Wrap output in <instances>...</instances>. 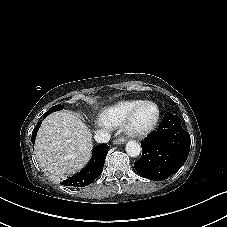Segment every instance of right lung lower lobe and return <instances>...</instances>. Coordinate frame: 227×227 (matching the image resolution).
Segmentation results:
<instances>
[{
  "label": "right lung lower lobe",
  "mask_w": 227,
  "mask_h": 227,
  "mask_svg": "<svg viewBox=\"0 0 227 227\" xmlns=\"http://www.w3.org/2000/svg\"><path fill=\"white\" fill-rule=\"evenodd\" d=\"M45 117H43L44 119ZM40 121L34 128L32 133V143H34L37 131L41 125ZM109 146L106 144H101L95 147L92 151V158L88 165L74 177L67 178L61 182L62 185L70 187H84L91 184L103 170L106 155L108 153Z\"/></svg>",
  "instance_id": "right-lung-lower-lobe-1"
}]
</instances>
